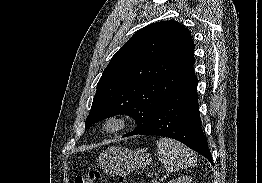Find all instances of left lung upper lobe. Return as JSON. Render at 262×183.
<instances>
[{
  "mask_svg": "<svg viewBox=\"0 0 262 183\" xmlns=\"http://www.w3.org/2000/svg\"><path fill=\"white\" fill-rule=\"evenodd\" d=\"M190 31L176 21L152 23L115 53L97 85L86 128L118 114L136 120L139 133L195 62Z\"/></svg>",
  "mask_w": 262,
  "mask_h": 183,
  "instance_id": "obj_1",
  "label": "left lung upper lobe"
}]
</instances>
